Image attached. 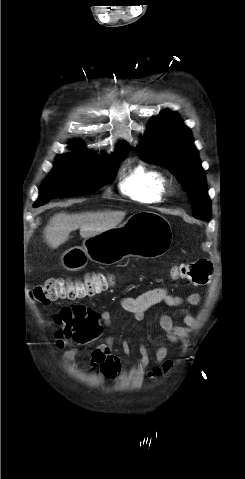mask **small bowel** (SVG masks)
<instances>
[{
	"label": "small bowel",
	"instance_id": "1",
	"mask_svg": "<svg viewBox=\"0 0 245 479\" xmlns=\"http://www.w3.org/2000/svg\"><path fill=\"white\" fill-rule=\"evenodd\" d=\"M200 301L201 297L197 292L190 293L186 296H179L171 293L169 289L165 287H159L148 290L138 296L123 297L121 299V307L134 320L143 321L145 312L156 304H164L167 307L175 308L183 307L185 305L195 306L198 305ZM179 314L186 326L191 327L195 324V317L188 309L182 308ZM111 319V314L108 311H101L98 314H95L91 311V315L88 318L87 324L82 332L83 336L91 337L93 335L99 334L104 326L111 324ZM159 324L162 330L166 333L168 341L171 343H177L185 333V328L175 325L173 317L169 314L161 315ZM66 345L67 342L63 338H56V349H64ZM121 349L125 355L130 354V345L128 341H122ZM139 352L141 355L139 367L141 369H145L150 362L148 349L144 344H141L139 346ZM76 353L77 349L75 347L67 350L64 353L65 362L69 364L72 363ZM167 355L168 348L164 341L160 340L159 346L155 353L156 364L148 372L149 376L157 377L164 372V366L167 362L163 364V367H160L159 365L165 361ZM91 361L93 365L100 367V373L104 378L114 379L116 377L121 369V361L120 358L113 353V339L111 337H105L104 343L92 351ZM170 366L171 364L169 367Z\"/></svg>",
	"mask_w": 245,
	"mask_h": 479
}]
</instances>
